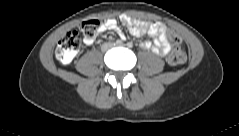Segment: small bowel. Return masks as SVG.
I'll return each instance as SVG.
<instances>
[{"mask_svg": "<svg viewBox=\"0 0 239 136\" xmlns=\"http://www.w3.org/2000/svg\"><path fill=\"white\" fill-rule=\"evenodd\" d=\"M120 19L122 24L133 36L140 37L144 34H148L153 39V43H144V48L151 49L153 52L161 56H165L169 53L171 45L167 38V27L163 23L138 21L126 15L121 16ZM99 31H116L119 34L120 38H125L123 33L118 29L117 21L115 19H108L107 21H105L100 26ZM84 43L86 45H92L94 43V38H84Z\"/></svg>", "mask_w": 239, "mask_h": 136, "instance_id": "obj_1", "label": "small bowel"}]
</instances>
